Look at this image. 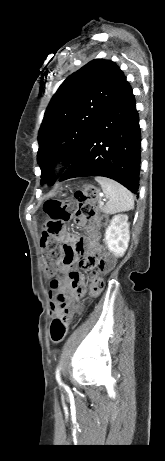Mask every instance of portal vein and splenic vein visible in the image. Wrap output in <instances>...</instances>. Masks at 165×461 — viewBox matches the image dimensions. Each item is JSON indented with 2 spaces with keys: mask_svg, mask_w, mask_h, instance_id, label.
<instances>
[{
  "mask_svg": "<svg viewBox=\"0 0 165 461\" xmlns=\"http://www.w3.org/2000/svg\"><path fill=\"white\" fill-rule=\"evenodd\" d=\"M103 201H106V199H103ZM103 201H100L99 204L103 205L104 204Z\"/></svg>",
  "mask_w": 165,
  "mask_h": 461,
  "instance_id": "obj_1",
  "label": "portal vein and splenic vein"
}]
</instances>
